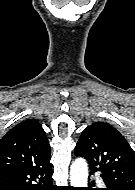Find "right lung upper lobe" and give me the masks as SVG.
I'll use <instances>...</instances> for the list:
<instances>
[{
  "label": "right lung upper lobe",
  "instance_id": "cb5924a9",
  "mask_svg": "<svg viewBox=\"0 0 135 190\" xmlns=\"http://www.w3.org/2000/svg\"><path fill=\"white\" fill-rule=\"evenodd\" d=\"M51 148L40 123L25 120L0 140V171L17 167H41L50 164Z\"/></svg>",
  "mask_w": 135,
  "mask_h": 190
}]
</instances>
